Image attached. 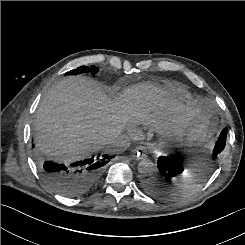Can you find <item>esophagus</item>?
Listing matches in <instances>:
<instances>
[{
	"label": "esophagus",
	"instance_id": "obj_1",
	"mask_svg": "<svg viewBox=\"0 0 245 245\" xmlns=\"http://www.w3.org/2000/svg\"><path fill=\"white\" fill-rule=\"evenodd\" d=\"M131 152L134 154L133 157L137 159H143L148 156V151L143 146L132 149Z\"/></svg>",
	"mask_w": 245,
	"mask_h": 245
}]
</instances>
